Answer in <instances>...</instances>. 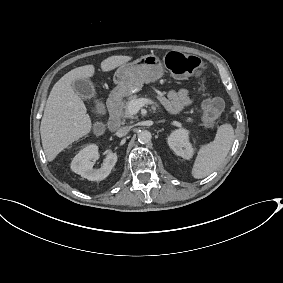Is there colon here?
Returning a JSON list of instances; mask_svg holds the SVG:
<instances>
[{
  "mask_svg": "<svg viewBox=\"0 0 283 283\" xmlns=\"http://www.w3.org/2000/svg\"><path fill=\"white\" fill-rule=\"evenodd\" d=\"M166 67L177 76L202 75L206 71V64L198 57L169 52L164 58ZM223 109L219 97L207 98L202 104V117L207 125H212L220 117Z\"/></svg>",
  "mask_w": 283,
  "mask_h": 283,
  "instance_id": "obj_1",
  "label": "colon"
}]
</instances>
